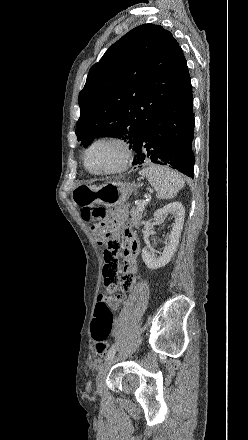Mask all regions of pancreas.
<instances>
[{
  "label": "pancreas",
  "instance_id": "obj_1",
  "mask_svg": "<svg viewBox=\"0 0 248 440\" xmlns=\"http://www.w3.org/2000/svg\"><path fill=\"white\" fill-rule=\"evenodd\" d=\"M142 214L141 211L136 209L131 210V225L138 228L141 225Z\"/></svg>",
  "mask_w": 248,
  "mask_h": 440
}]
</instances>
